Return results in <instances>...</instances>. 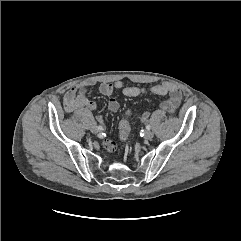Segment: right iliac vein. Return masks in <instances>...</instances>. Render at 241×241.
Listing matches in <instances>:
<instances>
[{"label": "right iliac vein", "mask_w": 241, "mask_h": 241, "mask_svg": "<svg viewBox=\"0 0 241 241\" xmlns=\"http://www.w3.org/2000/svg\"><path fill=\"white\" fill-rule=\"evenodd\" d=\"M90 130H91L92 133H98L100 131L98 129V126H96V125H92Z\"/></svg>", "instance_id": "right-iliac-vein-1"}]
</instances>
